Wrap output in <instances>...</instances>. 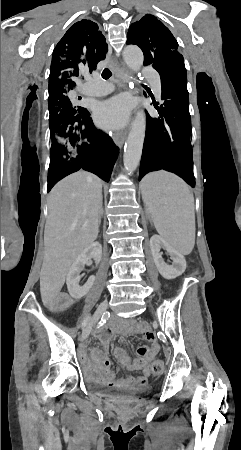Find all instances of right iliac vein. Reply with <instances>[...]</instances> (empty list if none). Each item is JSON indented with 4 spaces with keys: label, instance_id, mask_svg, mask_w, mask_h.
Returning a JSON list of instances; mask_svg holds the SVG:
<instances>
[{
    "label": "right iliac vein",
    "instance_id": "right-iliac-vein-1",
    "mask_svg": "<svg viewBox=\"0 0 241 450\" xmlns=\"http://www.w3.org/2000/svg\"><path fill=\"white\" fill-rule=\"evenodd\" d=\"M107 306H108V304H107V302H105V301L102 302V303L98 306V308H97V310H96V312H95L93 318H92L91 321L85 326V328H84L83 331H82V338H83V339H86V338L89 336V334H90V332H91V329H92V326H93L94 323L101 317V315L107 310Z\"/></svg>",
    "mask_w": 241,
    "mask_h": 450
}]
</instances>
